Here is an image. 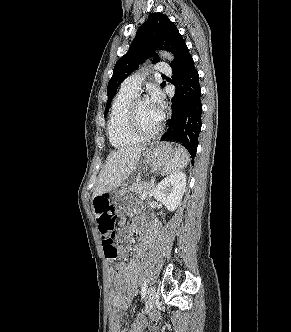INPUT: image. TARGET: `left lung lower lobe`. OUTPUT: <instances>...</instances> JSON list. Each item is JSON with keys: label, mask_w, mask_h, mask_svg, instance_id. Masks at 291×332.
<instances>
[{"label": "left lung lower lobe", "mask_w": 291, "mask_h": 332, "mask_svg": "<svg viewBox=\"0 0 291 332\" xmlns=\"http://www.w3.org/2000/svg\"><path fill=\"white\" fill-rule=\"evenodd\" d=\"M172 69L177 91L172 98L169 127L161 139L182 143L194 159L202 125V104L199 75L187 46Z\"/></svg>", "instance_id": "1"}]
</instances>
